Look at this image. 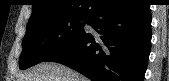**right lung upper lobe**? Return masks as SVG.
<instances>
[{
    "instance_id": "cb5924a9",
    "label": "right lung upper lobe",
    "mask_w": 169,
    "mask_h": 81,
    "mask_svg": "<svg viewBox=\"0 0 169 81\" xmlns=\"http://www.w3.org/2000/svg\"><path fill=\"white\" fill-rule=\"evenodd\" d=\"M28 23L57 16H88L104 0H33Z\"/></svg>"
}]
</instances>
